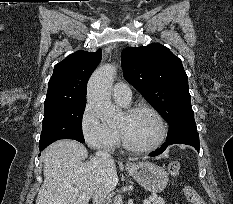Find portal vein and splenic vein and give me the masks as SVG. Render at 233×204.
I'll use <instances>...</instances> for the list:
<instances>
[{
	"label": "portal vein and splenic vein",
	"instance_id": "portal-vein-and-splenic-vein-1",
	"mask_svg": "<svg viewBox=\"0 0 233 204\" xmlns=\"http://www.w3.org/2000/svg\"><path fill=\"white\" fill-rule=\"evenodd\" d=\"M67 189H68L69 191L78 192V190H77L76 188L71 187V186H68ZM84 197H85V194H82V195L80 196V198H84ZM115 201H117V203L120 204V201H121V200H120V198H118V199L116 198ZM143 202H144V204H150V202H149L148 200H146V199H145Z\"/></svg>",
	"mask_w": 233,
	"mask_h": 204
}]
</instances>
